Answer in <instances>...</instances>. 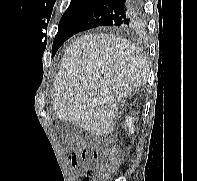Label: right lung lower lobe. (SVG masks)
<instances>
[{"instance_id":"98d812e1","label":"right lung lower lobe","mask_w":197,"mask_h":181,"mask_svg":"<svg viewBox=\"0 0 197 181\" xmlns=\"http://www.w3.org/2000/svg\"><path fill=\"white\" fill-rule=\"evenodd\" d=\"M139 22L138 0H99L80 15L66 40L76 33L99 26L131 28L138 26Z\"/></svg>"}]
</instances>
